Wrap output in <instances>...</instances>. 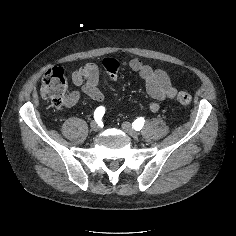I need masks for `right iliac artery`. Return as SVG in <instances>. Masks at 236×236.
<instances>
[{
    "instance_id": "1",
    "label": "right iliac artery",
    "mask_w": 236,
    "mask_h": 236,
    "mask_svg": "<svg viewBox=\"0 0 236 236\" xmlns=\"http://www.w3.org/2000/svg\"><path fill=\"white\" fill-rule=\"evenodd\" d=\"M105 113V108L103 106L98 107L94 112V118L96 122L100 120Z\"/></svg>"
}]
</instances>
